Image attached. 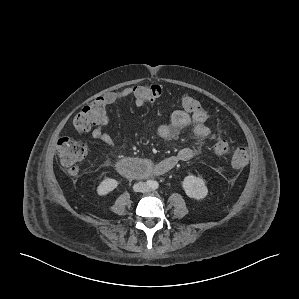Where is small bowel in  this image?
Wrapping results in <instances>:
<instances>
[{"instance_id": "c3829d8e", "label": "small bowel", "mask_w": 299, "mask_h": 299, "mask_svg": "<svg viewBox=\"0 0 299 299\" xmlns=\"http://www.w3.org/2000/svg\"><path fill=\"white\" fill-rule=\"evenodd\" d=\"M130 96H134L133 88L128 87L120 91H112L106 93L101 97L105 105H111L120 100H125ZM136 106H143L144 101L135 97ZM209 115L205 110L199 108L194 112H186L183 110H177L171 115L170 122L163 124L158 128V135L164 140H173L177 138L181 133H191L198 140L199 145L204 144L211 136V131L207 126ZM109 123V117L107 113L101 117L97 122L96 127L92 130V137L109 146L114 147V140L112 136L106 131V126ZM199 148L194 149L191 147H185L180 149L175 155L170 156L158 163H150L153 167L152 175H162L172 170L178 163L191 160Z\"/></svg>"}]
</instances>
